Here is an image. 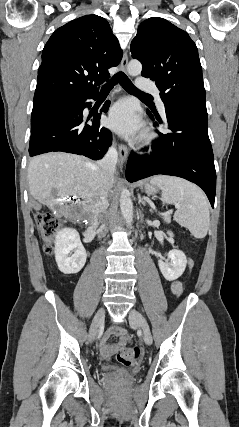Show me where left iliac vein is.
Wrapping results in <instances>:
<instances>
[{"label": "left iliac vein", "instance_id": "left-iliac-vein-1", "mask_svg": "<svg viewBox=\"0 0 239 427\" xmlns=\"http://www.w3.org/2000/svg\"><path fill=\"white\" fill-rule=\"evenodd\" d=\"M129 323L132 328H141L143 332V340L147 345L152 344V335L149 326L144 317L135 309H131L129 312Z\"/></svg>", "mask_w": 239, "mask_h": 427}]
</instances>
